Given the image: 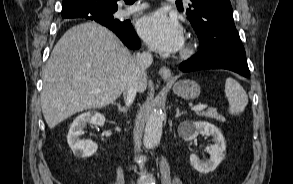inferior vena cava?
I'll return each instance as SVG.
<instances>
[{
    "mask_svg": "<svg viewBox=\"0 0 293 184\" xmlns=\"http://www.w3.org/2000/svg\"><path fill=\"white\" fill-rule=\"evenodd\" d=\"M153 57L151 50L144 51L143 53H137L133 58V75L123 90V96L127 106H130L135 97L137 91L140 90L146 79V69L152 64Z\"/></svg>",
    "mask_w": 293,
    "mask_h": 184,
    "instance_id": "obj_1",
    "label": "inferior vena cava"
}]
</instances>
